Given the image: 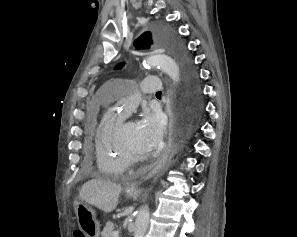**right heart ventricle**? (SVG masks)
I'll list each match as a JSON object with an SVG mask.
<instances>
[{"mask_svg": "<svg viewBox=\"0 0 297 237\" xmlns=\"http://www.w3.org/2000/svg\"><path fill=\"white\" fill-rule=\"evenodd\" d=\"M124 117L122 114L108 112L101 118L97 127L95 157L98 169L106 176L120 175L130 165L116 141V132Z\"/></svg>", "mask_w": 297, "mask_h": 237, "instance_id": "right-heart-ventricle-1", "label": "right heart ventricle"}]
</instances>
